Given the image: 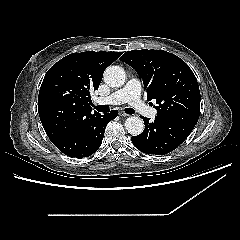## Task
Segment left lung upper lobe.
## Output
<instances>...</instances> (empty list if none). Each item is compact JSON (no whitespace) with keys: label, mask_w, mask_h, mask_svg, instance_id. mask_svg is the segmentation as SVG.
Listing matches in <instances>:
<instances>
[{"label":"left lung upper lobe","mask_w":240,"mask_h":240,"mask_svg":"<svg viewBox=\"0 0 240 240\" xmlns=\"http://www.w3.org/2000/svg\"><path fill=\"white\" fill-rule=\"evenodd\" d=\"M120 59L137 71L148 100L156 99L157 116H199V86L182 59L163 50L148 49L128 51Z\"/></svg>","instance_id":"obj_1"}]
</instances>
